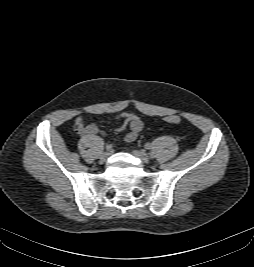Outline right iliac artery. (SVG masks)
<instances>
[{
	"label": "right iliac artery",
	"instance_id": "right-iliac-artery-1",
	"mask_svg": "<svg viewBox=\"0 0 254 267\" xmlns=\"http://www.w3.org/2000/svg\"><path fill=\"white\" fill-rule=\"evenodd\" d=\"M106 149L109 151V150H111L112 149V145L111 144H107L106 145Z\"/></svg>",
	"mask_w": 254,
	"mask_h": 267
}]
</instances>
